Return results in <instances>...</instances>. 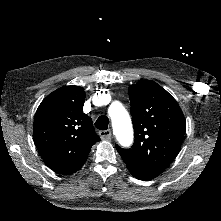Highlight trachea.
Wrapping results in <instances>:
<instances>
[{"instance_id": "1", "label": "trachea", "mask_w": 221, "mask_h": 221, "mask_svg": "<svg viewBox=\"0 0 221 221\" xmlns=\"http://www.w3.org/2000/svg\"><path fill=\"white\" fill-rule=\"evenodd\" d=\"M109 125V120L106 116H100L96 122H95V127L99 130H107Z\"/></svg>"}]
</instances>
